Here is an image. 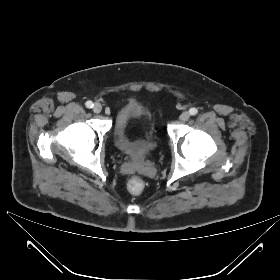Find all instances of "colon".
I'll use <instances>...</instances> for the list:
<instances>
[{
	"label": "colon",
	"instance_id": "1",
	"mask_svg": "<svg viewBox=\"0 0 280 280\" xmlns=\"http://www.w3.org/2000/svg\"><path fill=\"white\" fill-rule=\"evenodd\" d=\"M127 189L131 194L139 195L145 189V182L139 177H132L128 180Z\"/></svg>",
	"mask_w": 280,
	"mask_h": 280
}]
</instances>
